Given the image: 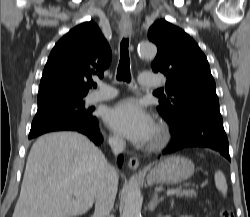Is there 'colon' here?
I'll return each mask as SVG.
<instances>
[{"label":"colon","instance_id":"1","mask_svg":"<svg viewBox=\"0 0 250 217\" xmlns=\"http://www.w3.org/2000/svg\"><path fill=\"white\" fill-rule=\"evenodd\" d=\"M220 217H233V212L231 208L226 205L221 206Z\"/></svg>","mask_w":250,"mask_h":217}]
</instances>
